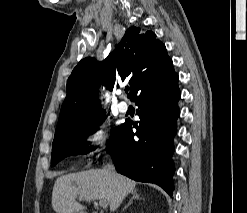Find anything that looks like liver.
<instances>
[{
    "mask_svg": "<svg viewBox=\"0 0 247 213\" xmlns=\"http://www.w3.org/2000/svg\"><path fill=\"white\" fill-rule=\"evenodd\" d=\"M136 182L107 168L82 171L58 177L52 191V207L57 213H83L85 206L76 201L105 200L114 212L134 191Z\"/></svg>",
    "mask_w": 247,
    "mask_h": 213,
    "instance_id": "1",
    "label": "liver"
}]
</instances>
